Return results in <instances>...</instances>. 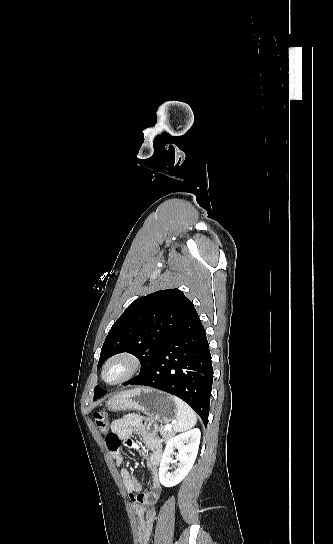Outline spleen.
I'll return each instance as SVG.
<instances>
[{"mask_svg": "<svg viewBox=\"0 0 333 544\" xmlns=\"http://www.w3.org/2000/svg\"><path fill=\"white\" fill-rule=\"evenodd\" d=\"M177 406L176 419L174 421L173 429L175 432L186 431L197 422L196 414L192 408L183 400L176 396H172Z\"/></svg>", "mask_w": 333, "mask_h": 544, "instance_id": "spleen-1", "label": "spleen"}]
</instances>
